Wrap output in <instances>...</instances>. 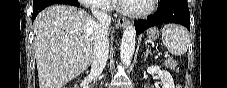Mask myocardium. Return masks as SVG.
Returning a JSON list of instances; mask_svg holds the SVG:
<instances>
[{
  "label": "myocardium",
  "mask_w": 227,
  "mask_h": 88,
  "mask_svg": "<svg viewBox=\"0 0 227 88\" xmlns=\"http://www.w3.org/2000/svg\"><path fill=\"white\" fill-rule=\"evenodd\" d=\"M147 1V7L144 9H135L132 6H121L119 8V11L131 18H142L145 16H148L151 14L155 8V3L157 0H146Z\"/></svg>",
  "instance_id": "1"
}]
</instances>
